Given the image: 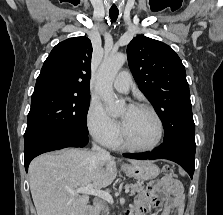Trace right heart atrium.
Here are the masks:
<instances>
[{"label":"right heart atrium","instance_id":"1","mask_svg":"<svg viewBox=\"0 0 223 215\" xmlns=\"http://www.w3.org/2000/svg\"><path fill=\"white\" fill-rule=\"evenodd\" d=\"M86 126L92 136L103 144H107L119 135L118 123L96 101H92L89 104L86 113Z\"/></svg>","mask_w":223,"mask_h":215}]
</instances>
